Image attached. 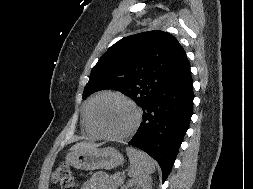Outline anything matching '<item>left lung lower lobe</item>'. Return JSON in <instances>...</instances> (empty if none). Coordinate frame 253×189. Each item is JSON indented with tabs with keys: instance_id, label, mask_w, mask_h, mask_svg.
Here are the masks:
<instances>
[{
	"instance_id": "0a47b994",
	"label": "left lung lower lobe",
	"mask_w": 253,
	"mask_h": 189,
	"mask_svg": "<svg viewBox=\"0 0 253 189\" xmlns=\"http://www.w3.org/2000/svg\"><path fill=\"white\" fill-rule=\"evenodd\" d=\"M193 98L190 64L186 60L180 71L142 107L143 122L128 142L159 163L163 182L189 128Z\"/></svg>"
}]
</instances>
